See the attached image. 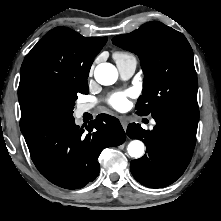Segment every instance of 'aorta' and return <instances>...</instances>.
Instances as JSON below:
<instances>
[{
  "mask_svg": "<svg viewBox=\"0 0 221 221\" xmlns=\"http://www.w3.org/2000/svg\"><path fill=\"white\" fill-rule=\"evenodd\" d=\"M96 81L101 85H112L118 79L116 67L110 63H100L94 71ZM128 154L134 158H140L144 154V144L140 140H133L127 148Z\"/></svg>",
  "mask_w": 221,
  "mask_h": 221,
  "instance_id": "aorta-1",
  "label": "aorta"
}]
</instances>
